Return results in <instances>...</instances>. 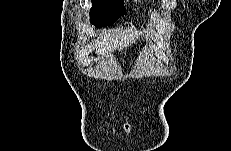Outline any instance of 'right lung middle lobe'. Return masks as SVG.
Segmentation results:
<instances>
[{
  "label": "right lung middle lobe",
  "mask_w": 231,
  "mask_h": 151,
  "mask_svg": "<svg viewBox=\"0 0 231 151\" xmlns=\"http://www.w3.org/2000/svg\"><path fill=\"white\" fill-rule=\"evenodd\" d=\"M123 14V0H92L90 23L96 27L112 25Z\"/></svg>",
  "instance_id": "obj_1"
}]
</instances>
